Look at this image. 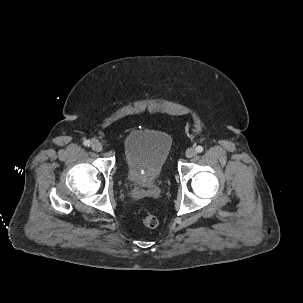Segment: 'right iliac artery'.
<instances>
[{
	"mask_svg": "<svg viewBox=\"0 0 303 303\" xmlns=\"http://www.w3.org/2000/svg\"><path fill=\"white\" fill-rule=\"evenodd\" d=\"M83 144H84L85 146L89 147V146L91 145V142H90V140H85V141L83 142Z\"/></svg>",
	"mask_w": 303,
	"mask_h": 303,
	"instance_id": "82829eb1",
	"label": "right iliac artery"
}]
</instances>
